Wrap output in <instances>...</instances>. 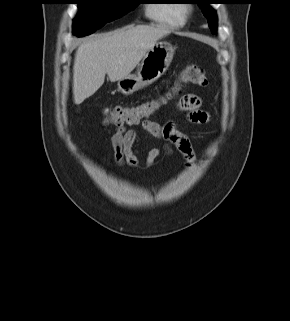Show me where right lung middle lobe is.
Returning a JSON list of instances; mask_svg holds the SVG:
<instances>
[{
	"mask_svg": "<svg viewBox=\"0 0 290 321\" xmlns=\"http://www.w3.org/2000/svg\"><path fill=\"white\" fill-rule=\"evenodd\" d=\"M77 4L79 12L74 19L73 33L82 37L123 16L139 3L137 0H77Z\"/></svg>",
	"mask_w": 290,
	"mask_h": 321,
	"instance_id": "right-lung-middle-lobe-1",
	"label": "right lung middle lobe"
}]
</instances>
